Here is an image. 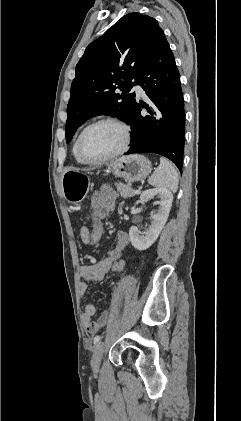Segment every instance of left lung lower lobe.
<instances>
[{
  "label": "left lung lower lobe",
  "instance_id": "left-lung-lower-lobe-1",
  "mask_svg": "<svg viewBox=\"0 0 241 421\" xmlns=\"http://www.w3.org/2000/svg\"><path fill=\"white\" fill-rule=\"evenodd\" d=\"M151 104L136 103L132 120V145L126 154L156 153L182 170L185 135L184 99L173 53L161 30L137 75ZM145 107L148 115L140 112ZM182 172V171H181Z\"/></svg>",
  "mask_w": 241,
  "mask_h": 421
}]
</instances>
